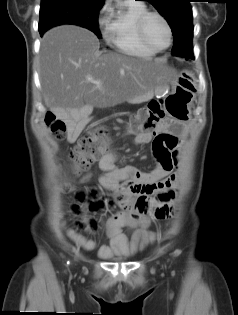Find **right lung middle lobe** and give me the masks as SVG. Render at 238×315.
Returning a JSON list of instances; mask_svg holds the SVG:
<instances>
[{
  "label": "right lung middle lobe",
  "instance_id": "1",
  "mask_svg": "<svg viewBox=\"0 0 238 315\" xmlns=\"http://www.w3.org/2000/svg\"><path fill=\"white\" fill-rule=\"evenodd\" d=\"M100 0H41L39 32L61 24H75L91 30L99 38L98 12Z\"/></svg>",
  "mask_w": 238,
  "mask_h": 315
}]
</instances>
